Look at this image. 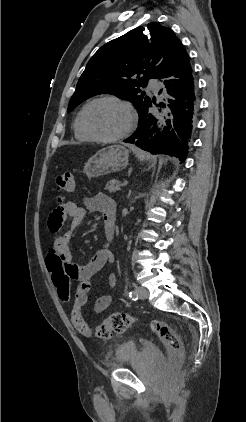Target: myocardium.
I'll return each mask as SVG.
<instances>
[{
  "label": "myocardium",
  "instance_id": "1",
  "mask_svg": "<svg viewBox=\"0 0 246 422\" xmlns=\"http://www.w3.org/2000/svg\"><path fill=\"white\" fill-rule=\"evenodd\" d=\"M102 101H112V102L118 103L122 107L125 108V110L127 111V114H128V124H127L126 128L121 133H119L115 136H112V137H103V136L97 135L96 133H94L91 130V128L89 127V124H88V120H87L88 110L94 104H96L98 102H102ZM81 123H82V127H83L85 133L92 140L100 142V143H114V142H117L119 140L126 138L133 131L135 124H136V113H135L132 105L128 101H126L125 99L118 97V96H115V95H104V96H100V97H97V98L91 100L90 102H88L83 107L82 113H81Z\"/></svg>",
  "mask_w": 246,
  "mask_h": 422
}]
</instances>
